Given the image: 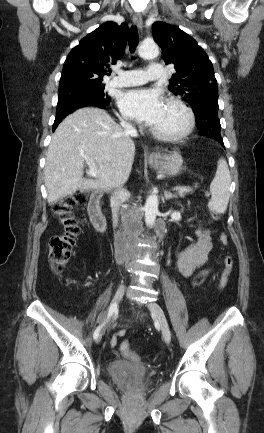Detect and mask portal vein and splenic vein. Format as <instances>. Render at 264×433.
<instances>
[{
	"instance_id": "18ae733b",
	"label": "portal vein and splenic vein",
	"mask_w": 264,
	"mask_h": 433,
	"mask_svg": "<svg viewBox=\"0 0 264 433\" xmlns=\"http://www.w3.org/2000/svg\"><path fill=\"white\" fill-rule=\"evenodd\" d=\"M82 157L85 159V161L87 162V165L89 166L88 174L91 175L92 177L96 178L98 171H97L95 165L91 162V159H89V157H87L86 155H82ZM173 190L179 192V194L190 193L193 191V189L190 187H174Z\"/></svg>"
}]
</instances>
